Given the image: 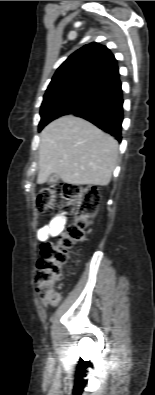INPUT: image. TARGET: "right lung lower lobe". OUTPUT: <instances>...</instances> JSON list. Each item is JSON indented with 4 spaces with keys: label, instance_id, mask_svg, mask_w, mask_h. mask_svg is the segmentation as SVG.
Instances as JSON below:
<instances>
[{
    "label": "right lung lower lobe",
    "instance_id": "98d812e1",
    "mask_svg": "<svg viewBox=\"0 0 155 395\" xmlns=\"http://www.w3.org/2000/svg\"><path fill=\"white\" fill-rule=\"evenodd\" d=\"M69 114L80 116L121 141L123 99L119 76Z\"/></svg>",
    "mask_w": 155,
    "mask_h": 395
}]
</instances>
